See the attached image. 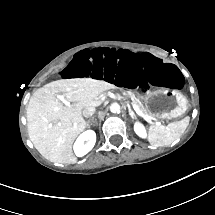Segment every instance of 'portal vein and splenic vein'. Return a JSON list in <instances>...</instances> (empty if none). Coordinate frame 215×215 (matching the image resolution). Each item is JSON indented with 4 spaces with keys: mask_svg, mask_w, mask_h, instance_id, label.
<instances>
[{
    "mask_svg": "<svg viewBox=\"0 0 215 215\" xmlns=\"http://www.w3.org/2000/svg\"><path fill=\"white\" fill-rule=\"evenodd\" d=\"M59 99L62 100L63 103H65L66 105L68 104V102L65 101L62 96H59ZM67 106L71 107V104H69ZM131 106L138 113L139 116H141L145 120H148V118L146 117V115L140 110V108L134 102L131 103Z\"/></svg>",
    "mask_w": 215,
    "mask_h": 215,
    "instance_id": "18ae733b",
    "label": "portal vein and splenic vein"
}]
</instances>
